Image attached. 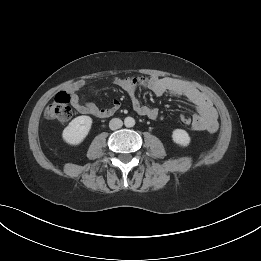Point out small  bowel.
<instances>
[{
    "instance_id": "c3829d8e",
    "label": "small bowel",
    "mask_w": 261,
    "mask_h": 261,
    "mask_svg": "<svg viewBox=\"0 0 261 261\" xmlns=\"http://www.w3.org/2000/svg\"><path fill=\"white\" fill-rule=\"evenodd\" d=\"M114 84L128 94L133 110L141 116L155 120L158 117V110L141 104L136 96V91L139 87L148 89L157 96L170 94L187 99L196 109V114L192 117V128L194 130L215 132L218 129V114L210 99L198 89L182 80L150 75L116 78L114 79ZM84 86V81H78L67 89L70 103L77 112L98 118H106L113 115L120 108L118 100H114L108 108H99L92 102H81L78 91Z\"/></svg>"
}]
</instances>
